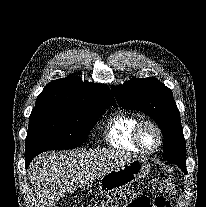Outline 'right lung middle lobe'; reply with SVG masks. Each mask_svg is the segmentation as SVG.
Listing matches in <instances>:
<instances>
[{
  "instance_id": "obj_1",
  "label": "right lung middle lobe",
  "mask_w": 206,
  "mask_h": 207,
  "mask_svg": "<svg viewBox=\"0 0 206 207\" xmlns=\"http://www.w3.org/2000/svg\"><path fill=\"white\" fill-rule=\"evenodd\" d=\"M106 108L108 106L36 104L30 115L25 155L80 146Z\"/></svg>"
}]
</instances>
